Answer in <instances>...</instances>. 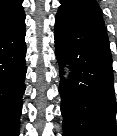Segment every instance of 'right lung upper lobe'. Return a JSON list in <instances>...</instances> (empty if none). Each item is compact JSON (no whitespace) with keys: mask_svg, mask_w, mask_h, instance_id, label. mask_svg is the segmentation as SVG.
Wrapping results in <instances>:
<instances>
[{"mask_svg":"<svg viewBox=\"0 0 117 136\" xmlns=\"http://www.w3.org/2000/svg\"><path fill=\"white\" fill-rule=\"evenodd\" d=\"M23 0H0V35L25 24Z\"/></svg>","mask_w":117,"mask_h":136,"instance_id":"obj_1","label":"right lung upper lobe"}]
</instances>
